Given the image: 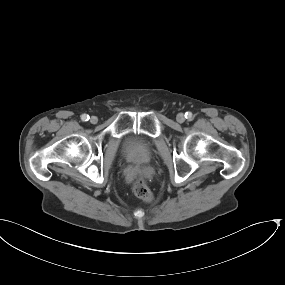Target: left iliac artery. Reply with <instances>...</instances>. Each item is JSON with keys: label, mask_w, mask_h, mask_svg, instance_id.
<instances>
[{"label": "left iliac artery", "mask_w": 285, "mask_h": 285, "mask_svg": "<svg viewBox=\"0 0 285 285\" xmlns=\"http://www.w3.org/2000/svg\"><path fill=\"white\" fill-rule=\"evenodd\" d=\"M185 118L188 119V120H192V118H193L192 113L191 112H186L185 113Z\"/></svg>", "instance_id": "left-iliac-artery-1"}]
</instances>
